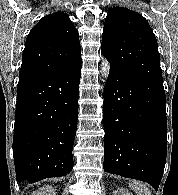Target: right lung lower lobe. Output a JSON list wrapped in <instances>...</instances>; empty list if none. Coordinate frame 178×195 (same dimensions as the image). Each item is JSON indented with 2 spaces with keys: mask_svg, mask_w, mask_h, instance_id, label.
Segmentation results:
<instances>
[{
  "mask_svg": "<svg viewBox=\"0 0 178 195\" xmlns=\"http://www.w3.org/2000/svg\"><path fill=\"white\" fill-rule=\"evenodd\" d=\"M81 64L19 80L13 135L16 179L30 183L70 173Z\"/></svg>",
  "mask_w": 178,
  "mask_h": 195,
  "instance_id": "obj_1",
  "label": "right lung lower lobe"
}]
</instances>
